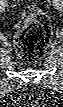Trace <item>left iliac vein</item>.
<instances>
[{"mask_svg": "<svg viewBox=\"0 0 63 107\" xmlns=\"http://www.w3.org/2000/svg\"><path fill=\"white\" fill-rule=\"evenodd\" d=\"M53 3L55 4V6L58 7V2H55V1H54ZM58 9H59V7H58Z\"/></svg>", "mask_w": 63, "mask_h": 107, "instance_id": "left-iliac-vein-1", "label": "left iliac vein"}]
</instances>
